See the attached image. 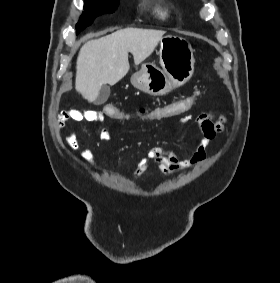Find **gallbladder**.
Segmentation results:
<instances>
[{"label": "gallbladder", "mask_w": 280, "mask_h": 283, "mask_svg": "<svg viewBox=\"0 0 280 283\" xmlns=\"http://www.w3.org/2000/svg\"><path fill=\"white\" fill-rule=\"evenodd\" d=\"M110 96V87L108 85H103L99 91L97 98L95 99V104L100 105L107 101Z\"/></svg>", "instance_id": "bac80fb5"}]
</instances>
